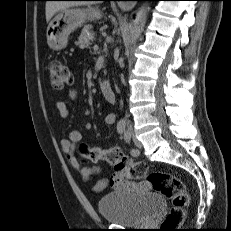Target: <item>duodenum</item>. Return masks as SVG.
I'll use <instances>...</instances> for the list:
<instances>
[{
	"instance_id": "obj_1",
	"label": "duodenum",
	"mask_w": 231,
	"mask_h": 231,
	"mask_svg": "<svg viewBox=\"0 0 231 231\" xmlns=\"http://www.w3.org/2000/svg\"><path fill=\"white\" fill-rule=\"evenodd\" d=\"M100 89H101L103 96L105 97V99L109 103H115L116 102L115 91L108 82L102 81L100 84Z\"/></svg>"
}]
</instances>
